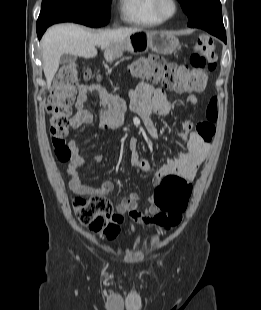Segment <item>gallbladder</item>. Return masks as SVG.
Here are the masks:
<instances>
[{
	"mask_svg": "<svg viewBox=\"0 0 261 310\" xmlns=\"http://www.w3.org/2000/svg\"><path fill=\"white\" fill-rule=\"evenodd\" d=\"M76 59H77L76 56L71 55V54H63L61 56V62L62 64H65V65L73 64L76 61Z\"/></svg>",
	"mask_w": 261,
	"mask_h": 310,
	"instance_id": "gallbladder-1",
	"label": "gallbladder"
}]
</instances>
